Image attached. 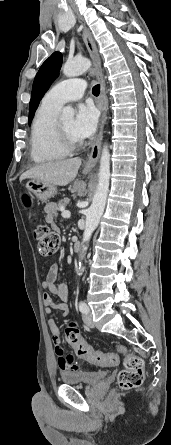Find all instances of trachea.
Masks as SVG:
<instances>
[{
  "mask_svg": "<svg viewBox=\"0 0 171 445\" xmlns=\"http://www.w3.org/2000/svg\"><path fill=\"white\" fill-rule=\"evenodd\" d=\"M92 93L94 96H98L100 94V85L97 84L92 88Z\"/></svg>",
  "mask_w": 171,
  "mask_h": 445,
  "instance_id": "3493384b",
  "label": "trachea"
}]
</instances>
